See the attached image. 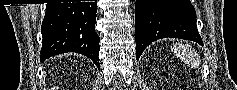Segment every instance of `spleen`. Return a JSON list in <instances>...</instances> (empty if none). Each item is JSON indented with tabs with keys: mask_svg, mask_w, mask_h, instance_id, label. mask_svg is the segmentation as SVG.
<instances>
[{
	"mask_svg": "<svg viewBox=\"0 0 237 90\" xmlns=\"http://www.w3.org/2000/svg\"><path fill=\"white\" fill-rule=\"evenodd\" d=\"M180 48L181 46H179V48H174V50H180ZM182 52L185 54V56H190L193 50H191L190 46H182Z\"/></svg>",
	"mask_w": 237,
	"mask_h": 90,
	"instance_id": "1",
	"label": "spleen"
}]
</instances>
